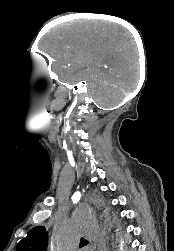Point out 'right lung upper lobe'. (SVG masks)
Wrapping results in <instances>:
<instances>
[{
    "mask_svg": "<svg viewBox=\"0 0 174 251\" xmlns=\"http://www.w3.org/2000/svg\"><path fill=\"white\" fill-rule=\"evenodd\" d=\"M88 243L86 240H81L80 247ZM47 233L43 226H36L31 229L27 236L17 244V251H46Z\"/></svg>",
    "mask_w": 174,
    "mask_h": 251,
    "instance_id": "cb5924a9",
    "label": "right lung upper lobe"
}]
</instances>
